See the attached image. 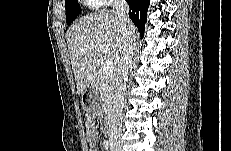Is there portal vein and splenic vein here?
Returning a JSON list of instances; mask_svg holds the SVG:
<instances>
[{"mask_svg": "<svg viewBox=\"0 0 231 151\" xmlns=\"http://www.w3.org/2000/svg\"><path fill=\"white\" fill-rule=\"evenodd\" d=\"M99 48H100V50H101L102 53H106V52H107V49L104 48L102 45H100ZM102 70H103V72H105V73H108V72H111V73H112L113 70H114V66H113L112 62H111V61H106V62L103 64V66H102Z\"/></svg>", "mask_w": 231, "mask_h": 151, "instance_id": "obj_1", "label": "portal vein and splenic vein"}]
</instances>
